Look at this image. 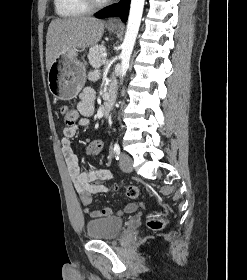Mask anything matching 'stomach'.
I'll use <instances>...</instances> for the list:
<instances>
[{"label": "stomach", "mask_w": 247, "mask_h": 280, "mask_svg": "<svg viewBox=\"0 0 247 280\" xmlns=\"http://www.w3.org/2000/svg\"><path fill=\"white\" fill-rule=\"evenodd\" d=\"M115 30V28H111ZM86 82V64L78 59V50L67 48L48 71V87L61 100L75 98Z\"/></svg>", "instance_id": "1"}]
</instances>
